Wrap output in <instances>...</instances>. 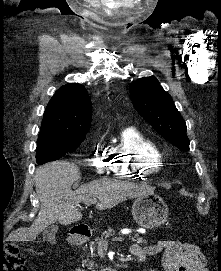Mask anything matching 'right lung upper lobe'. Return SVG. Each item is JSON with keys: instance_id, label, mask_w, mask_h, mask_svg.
Listing matches in <instances>:
<instances>
[{"instance_id": "cb5924a9", "label": "right lung upper lobe", "mask_w": 221, "mask_h": 271, "mask_svg": "<svg viewBox=\"0 0 221 271\" xmlns=\"http://www.w3.org/2000/svg\"><path fill=\"white\" fill-rule=\"evenodd\" d=\"M92 103L85 87L71 83L61 87L49 101L39 135L80 136L91 125Z\"/></svg>"}]
</instances>
